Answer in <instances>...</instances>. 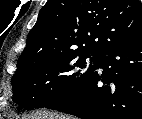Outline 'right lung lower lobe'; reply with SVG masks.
<instances>
[{"label": "right lung lower lobe", "instance_id": "98d812e1", "mask_svg": "<svg viewBox=\"0 0 142 119\" xmlns=\"http://www.w3.org/2000/svg\"><path fill=\"white\" fill-rule=\"evenodd\" d=\"M48 109L81 119H142V40L101 53L84 82Z\"/></svg>", "mask_w": 142, "mask_h": 119}]
</instances>
